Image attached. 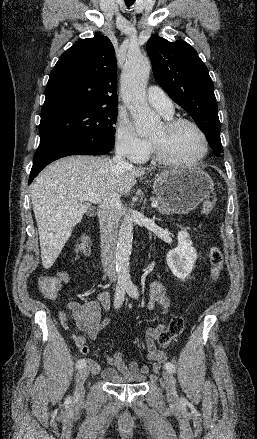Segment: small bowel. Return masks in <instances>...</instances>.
<instances>
[{
	"mask_svg": "<svg viewBox=\"0 0 257 439\" xmlns=\"http://www.w3.org/2000/svg\"><path fill=\"white\" fill-rule=\"evenodd\" d=\"M148 306L150 309L162 306L166 312L170 309L167 288L157 280H153L151 283ZM67 308L69 313H60L59 319L63 325H66L69 316L74 320L78 330L75 345L81 354L87 355L90 352V347L86 343V337L96 338L98 333L109 324V320H101L100 313L102 308L105 310L110 309V295L108 292H101L97 300H90L85 303L70 302ZM164 329L165 325L162 324L157 327H149L145 332L147 357L154 362L151 367L153 372H158L160 365L167 359V354L157 349L154 343ZM105 360L109 367L101 371L95 360L85 359L93 375L101 374L102 378L109 382H144L150 371L149 367L138 365L135 362L126 364L122 353L119 351L107 355Z\"/></svg>",
	"mask_w": 257,
	"mask_h": 439,
	"instance_id": "1",
	"label": "small bowel"
}]
</instances>
